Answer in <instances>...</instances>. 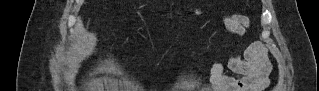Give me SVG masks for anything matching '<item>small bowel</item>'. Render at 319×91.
<instances>
[{
  "label": "small bowel",
  "instance_id": "c3829d8e",
  "mask_svg": "<svg viewBox=\"0 0 319 91\" xmlns=\"http://www.w3.org/2000/svg\"><path fill=\"white\" fill-rule=\"evenodd\" d=\"M248 19L242 15H236L226 20L229 30L235 35H242L248 26ZM248 61L241 60L238 54H231L227 68L243 77H233L223 71L220 63L213 62L210 65V74L214 86L225 91H259L268 83L270 65L267 59L265 47L260 42L250 44L246 49Z\"/></svg>",
  "mask_w": 319,
  "mask_h": 91
}]
</instances>
